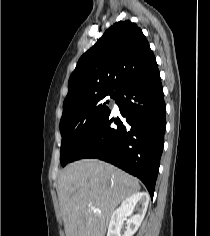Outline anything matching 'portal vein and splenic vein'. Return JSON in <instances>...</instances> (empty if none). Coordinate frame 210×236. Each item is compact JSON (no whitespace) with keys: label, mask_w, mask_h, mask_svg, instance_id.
Returning <instances> with one entry per match:
<instances>
[{"label":"portal vein and splenic vein","mask_w":210,"mask_h":236,"mask_svg":"<svg viewBox=\"0 0 210 236\" xmlns=\"http://www.w3.org/2000/svg\"><path fill=\"white\" fill-rule=\"evenodd\" d=\"M91 209H92V210H95V208H94L93 206H91Z\"/></svg>","instance_id":"18ae733b"}]
</instances>
